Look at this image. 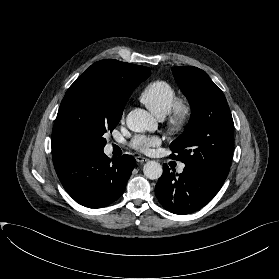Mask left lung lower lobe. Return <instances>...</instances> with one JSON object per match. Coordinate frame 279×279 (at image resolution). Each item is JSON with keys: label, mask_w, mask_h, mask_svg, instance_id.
<instances>
[{"label": "left lung lower lobe", "mask_w": 279, "mask_h": 279, "mask_svg": "<svg viewBox=\"0 0 279 279\" xmlns=\"http://www.w3.org/2000/svg\"><path fill=\"white\" fill-rule=\"evenodd\" d=\"M224 181L208 171L185 167L176 177L165 164L155 194L161 205L174 214H188L205 206L220 190Z\"/></svg>", "instance_id": "1"}]
</instances>
